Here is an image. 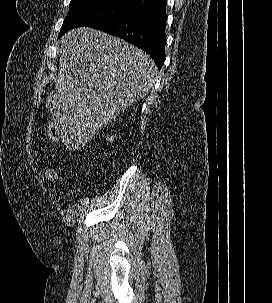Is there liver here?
<instances>
[{"label":"liver","mask_w":272,"mask_h":303,"mask_svg":"<svg viewBox=\"0 0 272 303\" xmlns=\"http://www.w3.org/2000/svg\"><path fill=\"white\" fill-rule=\"evenodd\" d=\"M59 64L46 108L69 149L85 146L115 115L146 97L158 73L145 52L89 27L61 38Z\"/></svg>","instance_id":"liver-1"}]
</instances>
